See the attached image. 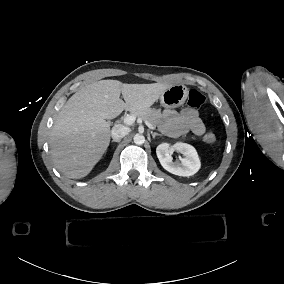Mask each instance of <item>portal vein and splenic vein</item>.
I'll use <instances>...</instances> for the list:
<instances>
[{
  "mask_svg": "<svg viewBox=\"0 0 284 284\" xmlns=\"http://www.w3.org/2000/svg\"><path fill=\"white\" fill-rule=\"evenodd\" d=\"M135 121H136V116H134V115H128L124 118V123L126 125H132ZM145 124L148 128L154 129V127L152 126V124L149 121H145Z\"/></svg>",
  "mask_w": 284,
  "mask_h": 284,
  "instance_id": "obj_1",
  "label": "portal vein and splenic vein"
}]
</instances>
